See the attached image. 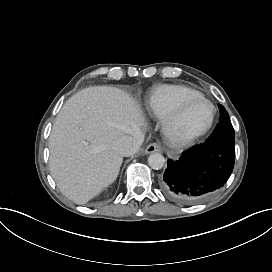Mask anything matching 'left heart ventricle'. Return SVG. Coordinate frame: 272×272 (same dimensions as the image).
<instances>
[{
	"instance_id": "b2bd125f",
	"label": "left heart ventricle",
	"mask_w": 272,
	"mask_h": 272,
	"mask_svg": "<svg viewBox=\"0 0 272 272\" xmlns=\"http://www.w3.org/2000/svg\"><path fill=\"white\" fill-rule=\"evenodd\" d=\"M209 104L202 99L190 102L180 114L176 124L182 131H191L205 126L210 118Z\"/></svg>"
}]
</instances>
